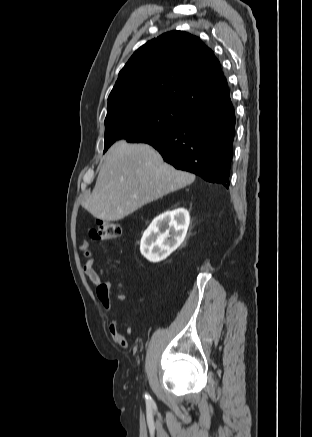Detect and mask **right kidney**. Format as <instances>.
I'll return each mask as SVG.
<instances>
[{
    "mask_svg": "<svg viewBox=\"0 0 312 437\" xmlns=\"http://www.w3.org/2000/svg\"><path fill=\"white\" fill-rule=\"evenodd\" d=\"M190 216L184 208L165 212L153 220L141 239V254L150 262L166 259L184 241Z\"/></svg>",
    "mask_w": 312,
    "mask_h": 437,
    "instance_id": "right-kidney-1",
    "label": "right kidney"
}]
</instances>
